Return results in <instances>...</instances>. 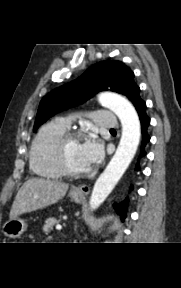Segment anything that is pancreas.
Returning a JSON list of instances; mask_svg holds the SVG:
<instances>
[{"label": "pancreas", "mask_w": 181, "mask_h": 288, "mask_svg": "<svg viewBox=\"0 0 181 288\" xmlns=\"http://www.w3.org/2000/svg\"><path fill=\"white\" fill-rule=\"evenodd\" d=\"M59 222H60V220H57V219H55V218H53V217L48 218V219L45 221V224H44L42 230H43L46 234H48V233H50L51 231H53V226H54L55 224L59 223Z\"/></svg>", "instance_id": "cf45deb5"}]
</instances>
